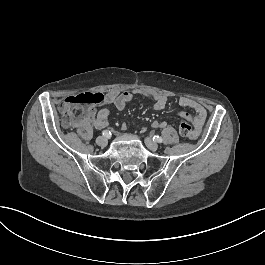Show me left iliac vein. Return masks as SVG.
Instances as JSON below:
<instances>
[{"label": "left iliac vein", "mask_w": 265, "mask_h": 265, "mask_svg": "<svg viewBox=\"0 0 265 265\" xmlns=\"http://www.w3.org/2000/svg\"><path fill=\"white\" fill-rule=\"evenodd\" d=\"M145 144L152 151H156L158 149V144L155 141H153L150 137L145 138Z\"/></svg>", "instance_id": "left-iliac-vein-1"}]
</instances>
